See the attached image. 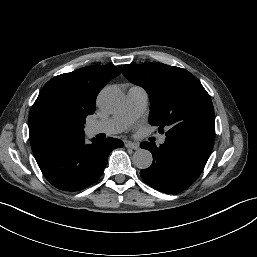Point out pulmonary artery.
<instances>
[{
	"mask_svg": "<svg viewBox=\"0 0 257 257\" xmlns=\"http://www.w3.org/2000/svg\"><path fill=\"white\" fill-rule=\"evenodd\" d=\"M147 104L148 93L146 90L140 86H132L127 92L126 103L123 110L110 118L90 123L87 127V131L90 135L122 132L144 113ZM164 142L165 136H161L159 143L163 144Z\"/></svg>",
	"mask_w": 257,
	"mask_h": 257,
	"instance_id": "obj_1",
	"label": "pulmonary artery"
}]
</instances>
